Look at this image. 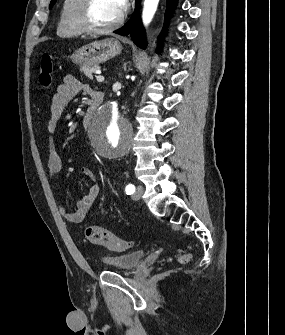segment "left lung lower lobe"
Returning <instances> with one entry per match:
<instances>
[{
	"instance_id": "0a47b994",
	"label": "left lung lower lobe",
	"mask_w": 285,
	"mask_h": 335,
	"mask_svg": "<svg viewBox=\"0 0 285 335\" xmlns=\"http://www.w3.org/2000/svg\"><path fill=\"white\" fill-rule=\"evenodd\" d=\"M135 3H136V9H137L138 0H136ZM176 3H177V0H167V9L165 12L164 27L162 29L161 34L159 35L160 39H162L166 34L168 20L170 18V15L172 14V11ZM115 33L120 34V35L130 34L131 39L136 45H138L141 48H143L145 45V32L142 27V23H141L138 12L135 15H132L129 21L123 27L116 30ZM159 51L160 49H157V52Z\"/></svg>"
}]
</instances>
